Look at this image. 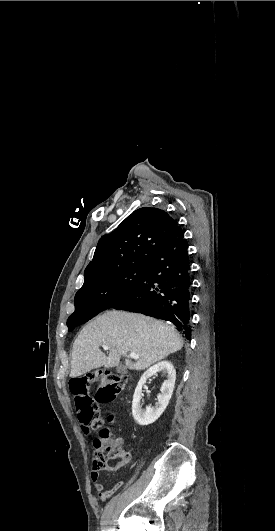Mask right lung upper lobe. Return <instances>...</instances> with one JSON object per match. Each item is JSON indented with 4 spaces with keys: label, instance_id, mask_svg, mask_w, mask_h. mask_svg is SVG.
Returning a JSON list of instances; mask_svg holds the SVG:
<instances>
[{
    "label": "right lung upper lobe",
    "instance_id": "right-lung-upper-lobe-1",
    "mask_svg": "<svg viewBox=\"0 0 275 531\" xmlns=\"http://www.w3.org/2000/svg\"><path fill=\"white\" fill-rule=\"evenodd\" d=\"M177 227L163 210H135L112 233L100 238L93 260L84 271V284L111 271L147 266Z\"/></svg>",
    "mask_w": 275,
    "mask_h": 531
}]
</instances>
